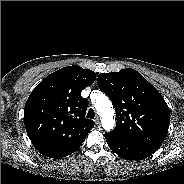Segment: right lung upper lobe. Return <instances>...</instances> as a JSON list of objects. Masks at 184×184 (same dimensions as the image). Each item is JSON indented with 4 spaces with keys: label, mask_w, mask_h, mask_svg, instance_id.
Segmentation results:
<instances>
[{
    "label": "right lung upper lobe",
    "mask_w": 184,
    "mask_h": 184,
    "mask_svg": "<svg viewBox=\"0 0 184 184\" xmlns=\"http://www.w3.org/2000/svg\"><path fill=\"white\" fill-rule=\"evenodd\" d=\"M95 72L67 66L51 73L31 92L24 124L35 148L45 156L80 147L94 121L85 119L88 100L81 91L93 84Z\"/></svg>",
    "instance_id": "obj_1"
}]
</instances>
